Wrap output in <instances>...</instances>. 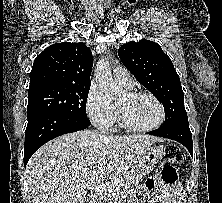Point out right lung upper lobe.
Masks as SVG:
<instances>
[{
  "label": "right lung upper lobe",
  "instance_id": "1",
  "mask_svg": "<svg viewBox=\"0 0 222 203\" xmlns=\"http://www.w3.org/2000/svg\"><path fill=\"white\" fill-rule=\"evenodd\" d=\"M91 50L84 43H56L38 55L29 90L58 85H90Z\"/></svg>",
  "mask_w": 222,
  "mask_h": 203
}]
</instances>
